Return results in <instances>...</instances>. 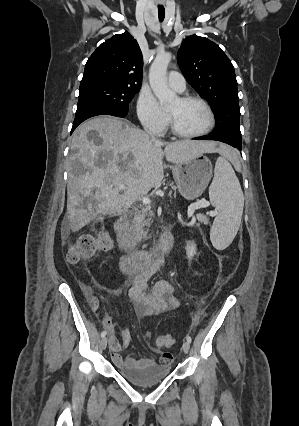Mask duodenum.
Returning <instances> with one entry per match:
<instances>
[{"label":"duodenum","instance_id":"410a0bca","mask_svg":"<svg viewBox=\"0 0 299 426\" xmlns=\"http://www.w3.org/2000/svg\"><path fill=\"white\" fill-rule=\"evenodd\" d=\"M114 227L122 249L121 269L126 274H136L141 268L153 261L163 259L173 246L171 233L165 232L161 236L159 244L152 250L137 249L125 216L119 217L115 221Z\"/></svg>","mask_w":299,"mask_h":426}]
</instances>
